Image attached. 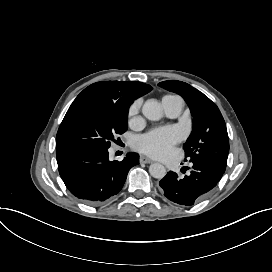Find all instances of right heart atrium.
<instances>
[{
    "label": "right heart atrium",
    "mask_w": 272,
    "mask_h": 272,
    "mask_svg": "<svg viewBox=\"0 0 272 272\" xmlns=\"http://www.w3.org/2000/svg\"><path fill=\"white\" fill-rule=\"evenodd\" d=\"M140 105H141V102H140V101H136V102L132 105V107H131V109H130V114L133 115V114L139 109Z\"/></svg>",
    "instance_id": "obj_1"
}]
</instances>
